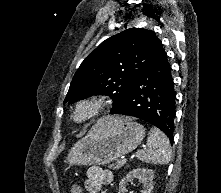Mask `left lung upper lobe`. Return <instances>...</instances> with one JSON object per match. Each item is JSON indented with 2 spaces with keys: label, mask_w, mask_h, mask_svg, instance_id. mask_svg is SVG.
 <instances>
[{
  "label": "left lung upper lobe",
  "mask_w": 221,
  "mask_h": 193,
  "mask_svg": "<svg viewBox=\"0 0 221 193\" xmlns=\"http://www.w3.org/2000/svg\"><path fill=\"white\" fill-rule=\"evenodd\" d=\"M165 53L151 30L131 28L103 41L81 63L64 102L98 94L109 95L113 108L129 92L133 81Z\"/></svg>",
  "instance_id": "left-lung-upper-lobe-1"
}]
</instances>
